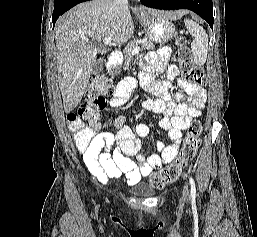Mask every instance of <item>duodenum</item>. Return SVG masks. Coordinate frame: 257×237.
Returning a JSON list of instances; mask_svg holds the SVG:
<instances>
[{
    "instance_id": "obj_1",
    "label": "duodenum",
    "mask_w": 257,
    "mask_h": 237,
    "mask_svg": "<svg viewBox=\"0 0 257 237\" xmlns=\"http://www.w3.org/2000/svg\"><path fill=\"white\" fill-rule=\"evenodd\" d=\"M118 61H119V57L117 55L112 56L109 61V68L111 70L115 69Z\"/></svg>"
}]
</instances>
